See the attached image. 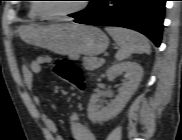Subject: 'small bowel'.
Returning a JSON list of instances; mask_svg holds the SVG:
<instances>
[{
    "label": "small bowel",
    "mask_w": 182,
    "mask_h": 140,
    "mask_svg": "<svg viewBox=\"0 0 182 140\" xmlns=\"http://www.w3.org/2000/svg\"><path fill=\"white\" fill-rule=\"evenodd\" d=\"M50 62V56L40 55L31 60L28 64L24 63L22 65L21 76L26 88H33L34 74L39 73L42 69V66L49 64ZM33 102L36 105H39L41 101L38 96H33ZM42 121L50 135L51 140H64V138L59 134L57 125L52 117L44 113L42 114ZM69 128L71 135L75 140H96V136L93 131L81 122L79 115L76 113L70 117Z\"/></svg>",
    "instance_id": "1"
}]
</instances>
